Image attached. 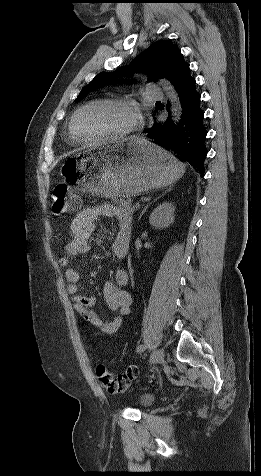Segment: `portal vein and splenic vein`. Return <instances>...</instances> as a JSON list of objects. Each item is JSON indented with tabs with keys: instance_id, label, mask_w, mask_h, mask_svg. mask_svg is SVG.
Here are the masks:
<instances>
[{
	"instance_id": "18ae733b",
	"label": "portal vein and splenic vein",
	"mask_w": 261,
	"mask_h": 476,
	"mask_svg": "<svg viewBox=\"0 0 261 476\" xmlns=\"http://www.w3.org/2000/svg\"><path fill=\"white\" fill-rule=\"evenodd\" d=\"M137 208H139L141 206V204L139 202L136 203L135 205Z\"/></svg>"
}]
</instances>
